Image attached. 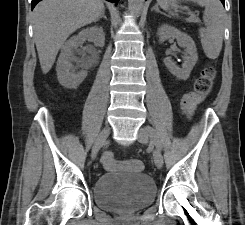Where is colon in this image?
<instances>
[{
  "instance_id": "5ec220e1",
  "label": "colon",
  "mask_w": 245,
  "mask_h": 225,
  "mask_svg": "<svg viewBox=\"0 0 245 225\" xmlns=\"http://www.w3.org/2000/svg\"><path fill=\"white\" fill-rule=\"evenodd\" d=\"M215 79V69L210 66H206L202 69L199 77L196 79L193 90L183 95L181 102L182 111L187 118L192 117L196 106L210 94ZM101 164L105 170H113L118 167H125L134 172H141L144 169V165L140 160L133 159L117 161L110 152H106L102 156Z\"/></svg>"
}]
</instances>
